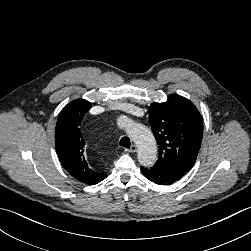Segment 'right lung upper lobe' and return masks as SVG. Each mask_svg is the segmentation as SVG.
<instances>
[{
    "mask_svg": "<svg viewBox=\"0 0 251 251\" xmlns=\"http://www.w3.org/2000/svg\"><path fill=\"white\" fill-rule=\"evenodd\" d=\"M84 99L70 102L59 114L55 129V147L64 168L77 180L94 185L107 177L89 167L85 156V140L80 124L90 110Z\"/></svg>",
    "mask_w": 251,
    "mask_h": 251,
    "instance_id": "cb5924a9",
    "label": "right lung upper lobe"
}]
</instances>
